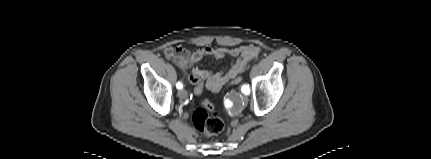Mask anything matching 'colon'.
<instances>
[{"instance_id": "1", "label": "colon", "mask_w": 431, "mask_h": 159, "mask_svg": "<svg viewBox=\"0 0 431 159\" xmlns=\"http://www.w3.org/2000/svg\"><path fill=\"white\" fill-rule=\"evenodd\" d=\"M186 80L191 85H194V95L201 96L203 92V79L201 77H193V75H186ZM244 80V76H240L230 81V85H235ZM203 98L199 99L202 102ZM215 105L210 100L202 102V106L197 108L192 116V121L195 128L206 136H214L222 132L224 129V122L222 118L214 112Z\"/></svg>"}]
</instances>
